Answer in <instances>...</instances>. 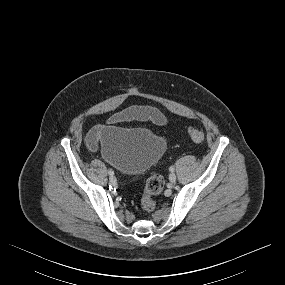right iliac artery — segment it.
Listing matches in <instances>:
<instances>
[{
    "label": "right iliac artery",
    "instance_id": "82829eb1",
    "mask_svg": "<svg viewBox=\"0 0 285 285\" xmlns=\"http://www.w3.org/2000/svg\"><path fill=\"white\" fill-rule=\"evenodd\" d=\"M108 174L109 175H114V171L110 169V170H108Z\"/></svg>",
    "mask_w": 285,
    "mask_h": 285
}]
</instances>
